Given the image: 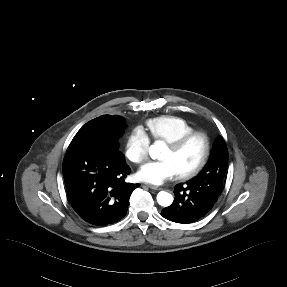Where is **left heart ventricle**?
<instances>
[{"label":"left heart ventricle","instance_id":"1","mask_svg":"<svg viewBox=\"0 0 287 287\" xmlns=\"http://www.w3.org/2000/svg\"><path fill=\"white\" fill-rule=\"evenodd\" d=\"M202 152L203 142L200 138H196L179 152H173L167 147L161 156V160L170 161L179 174L196 165Z\"/></svg>","mask_w":287,"mask_h":287}]
</instances>
